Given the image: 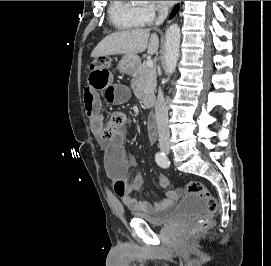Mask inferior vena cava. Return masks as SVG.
<instances>
[{
    "mask_svg": "<svg viewBox=\"0 0 271 266\" xmlns=\"http://www.w3.org/2000/svg\"><path fill=\"white\" fill-rule=\"evenodd\" d=\"M168 16V8L160 7L158 9V18L155 21V26L161 25ZM156 124L158 130L159 141H168L170 137L168 127V108L164 99L163 92L159 88L157 101L155 104Z\"/></svg>",
    "mask_w": 271,
    "mask_h": 266,
    "instance_id": "obj_1",
    "label": "inferior vena cava"
}]
</instances>
